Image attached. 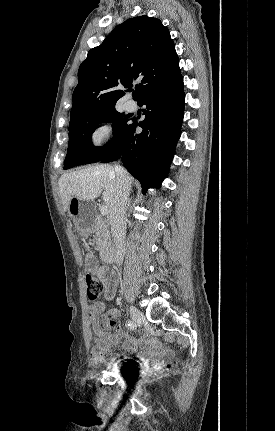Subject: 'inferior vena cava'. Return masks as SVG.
I'll return each instance as SVG.
<instances>
[{
  "mask_svg": "<svg viewBox=\"0 0 275 431\" xmlns=\"http://www.w3.org/2000/svg\"><path fill=\"white\" fill-rule=\"evenodd\" d=\"M115 172L117 191L110 206L109 222L115 245V262L121 266L125 255V209L131 183L127 172L121 166L116 165Z\"/></svg>",
  "mask_w": 275,
  "mask_h": 431,
  "instance_id": "602c4592",
  "label": "inferior vena cava"
}]
</instances>
